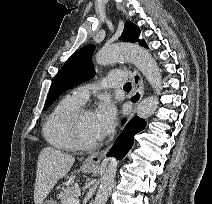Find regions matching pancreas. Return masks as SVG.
<instances>
[{"mask_svg":"<svg viewBox=\"0 0 212 204\" xmlns=\"http://www.w3.org/2000/svg\"><path fill=\"white\" fill-rule=\"evenodd\" d=\"M79 195L78 189L75 187H68L64 191L60 192L57 198L61 204H67L68 199L77 198Z\"/></svg>","mask_w":212,"mask_h":204,"instance_id":"pancreas-1","label":"pancreas"}]
</instances>
